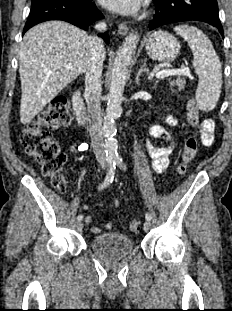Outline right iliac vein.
<instances>
[{
	"mask_svg": "<svg viewBox=\"0 0 232 311\" xmlns=\"http://www.w3.org/2000/svg\"><path fill=\"white\" fill-rule=\"evenodd\" d=\"M76 226L79 231L83 229V223L81 221H79Z\"/></svg>",
	"mask_w": 232,
	"mask_h": 311,
	"instance_id": "obj_1",
	"label": "right iliac vein"
}]
</instances>
